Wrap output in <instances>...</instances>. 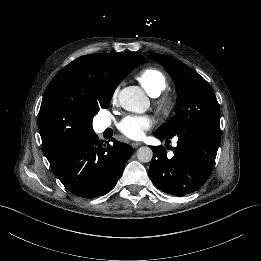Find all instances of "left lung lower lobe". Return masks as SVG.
I'll list each match as a JSON object with an SVG mask.
<instances>
[{
    "label": "left lung lower lobe",
    "mask_w": 261,
    "mask_h": 261,
    "mask_svg": "<svg viewBox=\"0 0 261 261\" xmlns=\"http://www.w3.org/2000/svg\"><path fill=\"white\" fill-rule=\"evenodd\" d=\"M153 135L169 139L155 132ZM177 137V146L174 147L171 159L167 157V151L162 145L155 148L148 174L161 191L185 196L198 191L209 178L220 142V132L197 127Z\"/></svg>",
    "instance_id": "obj_1"
}]
</instances>
